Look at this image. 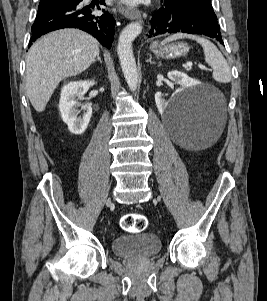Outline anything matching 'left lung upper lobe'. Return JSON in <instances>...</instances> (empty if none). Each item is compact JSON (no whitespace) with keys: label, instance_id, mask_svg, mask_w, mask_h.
<instances>
[{"label":"left lung upper lobe","instance_id":"5c2ea615","mask_svg":"<svg viewBox=\"0 0 267 301\" xmlns=\"http://www.w3.org/2000/svg\"><path fill=\"white\" fill-rule=\"evenodd\" d=\"M161 2L166 6L186 7L211 21L217 22L211 0H161Z\"/></svg>","mask_w":267,"mask_h":301}]
</instances>
